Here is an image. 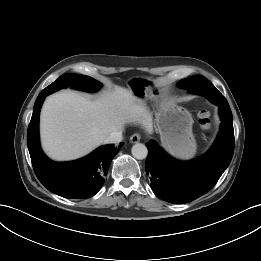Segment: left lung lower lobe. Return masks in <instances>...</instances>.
<instances>
[{
    "label": "left lung lower lobe",
    "instance_id": "obj_1",
    "mask_svg": "<svg viewBox=\"0 0 261 261\" xmlns=\"http://www.w3.org/2000/svg\"><path fill=\"white\" fill-rule=\"evenodd\" d=\"M219 106L222 119L217 139L209 151L192 161H179L154 141L146 143V174L156 196L170 203H187L206 194L229 166L234 151V131L230 106L225 97L208 81H200L189 90Z\"/></svg>",
    "mask_w": 261,
    "mask_h": 261
}]
</instances>
